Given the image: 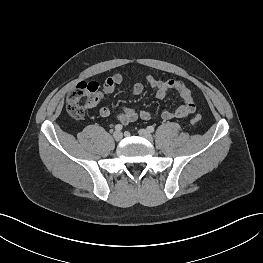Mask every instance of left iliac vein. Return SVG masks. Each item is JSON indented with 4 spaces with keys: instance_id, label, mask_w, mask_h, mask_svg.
<instances>
[{
    "instance_id": "left-iliac-vein-1",
    "label": "left iliac vein",
    "mask_w": 263,
    "mask_h": 263,
    "mask_svg": "<svg viewBox=\"0 0 263 263\" xmlns=\"http://www.w3.org/2000/svg\"><path fill=\"white\" fill-rule=\"evenodd\" d=\"M138 134H139L141 137H143V138H145V139H147V140H149V141H152V139H153L151 133H150L148 130H146V129H139V130H138Z\"/></svg>"
}]
</instances>
